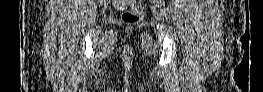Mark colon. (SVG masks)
<instances>
[{
    "mask_svg": "<svg viewBox=\"0 0 263 92\" xmlns=\"http://www.w3.org/2000/svg\"><path fill=\"white\" fill-rule=\"evenodd\" d=\"M130 2L132 6L128 11L122 14V20L126 24H135L138 23L143 16L144 10L142 6V1L131 0Z\"/></svg>",
    "mask_w": 263,
    "mask_h": 92,
    "instance_id": "1",
    "label": "colon"
}]
</instances>
